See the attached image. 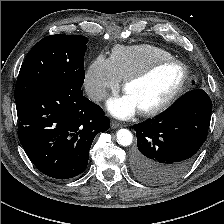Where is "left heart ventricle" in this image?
<instances>
[{"mask_svg": "<svg viewBox=\"0 0 224 224\" xmlns=\"http://www.w3.org/2000/svg\"><path fill=\"white\" fill-rule=\"evenodd\" d=\"M182 74L179 65H165L147 78L129 85L126 94L136 103L138 110L152 108L172 94Z\"/></svg>", "mask_w": 224, "mask_h": 224, "instance_id": "1", "label": "left heart ventricle"}]
</instances>
